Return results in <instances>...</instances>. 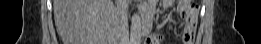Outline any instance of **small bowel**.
Returning a JSON list of instances; mask_svg holds the SVG:
<instances>
[{
	"label": "small bowel",
	"mask_w": 261,
	"mask_h": 44,
	"mask_svg": "<svg viewBox=\"0 0 261 44\" xmlns=\"http://www.w3.org/2000/svg\"><path fill=\"white\" fill-rule=\"evenodd\" d=\"M160 4L163 7H169L173 4V1L171 0H164L161 1ZM157 2L151 1L145 4V14L150 16L151 19H153L155 14ZM179 12L183 16L185 20V28L182 35V43L183 44H193L196 36L197 31V20H198V13L195 8L190 6H180ZM168 28L171 29L170 23H168ZM164 40V35L159 31H153L152 33L148 35V37L145 40V44H160Z\"/></svg>",
	"instance_id": "1"
}]
</instances>
